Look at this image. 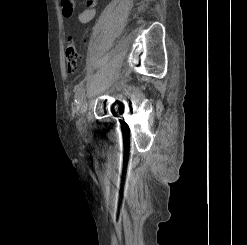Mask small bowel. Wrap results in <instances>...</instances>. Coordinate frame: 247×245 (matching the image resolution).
Returning <instances> with one entry per match:
<instances>
[{
    "instance_id": "1",
    "label": "small bowel",
    "mask_w": 247,
    "mask_h": 245,
    "mask_svg": "<svg viewBox=\"0 0 247 245\" xmlns=\"http://www.w3.org/2000/svg\"><path fill=\"white\" fill-rule=\"evenodd\" d=\"M85 4L87 8L80 12L77 16V20L82 24L88 23L94 18L96 14L95 7L97 5V0H85ZM61 5L64 16L71 17L74 9L73 0H61Z\"/></svg>"
}]
</instances>
